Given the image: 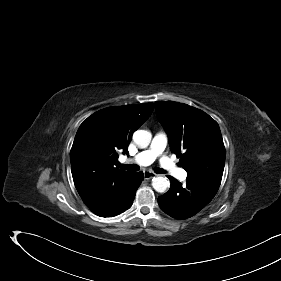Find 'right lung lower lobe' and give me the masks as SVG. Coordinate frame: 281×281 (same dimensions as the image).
Listing matches in <instances>:
<instances>
[{"mask_svg": "<svg viewBox=\"0 0 281 281\" xmlns=\"http://www.w3.org/2000/svg\"><path fill=\"white\" fill-rule=\"evenodd\" d=\"M144 175L142 172L132 173L119 194L111 203L91 209L96 215L101 217H112L118 215L131 207L137 188L140 186Z\"/></svg>", "mask_w": 281, "mask_h": 281, "instance_id": "1", "label": "right lung lower lobe"}]
</instances>
